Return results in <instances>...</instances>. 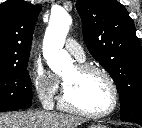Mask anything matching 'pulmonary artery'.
I'll return each instance as SVG.
<instances>
[{
  "mask_svg": "<svg viewBox=\"0 0 142 128\" xmlns=\"http://www.w3.org/2000/svg\"><path fill=\"white\" fill-rule=\"evenodd\" d=\"M66 50L79 61L85 60V53L81 45L74 39L69 38L65 43Z\"/></svg>",
  "mask_w": 142,
  "mask_h": 128,
  "instance_id": "obj_1",
  "label": "pulmonary artery"
}]
</instances>
